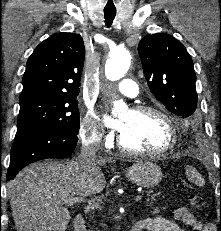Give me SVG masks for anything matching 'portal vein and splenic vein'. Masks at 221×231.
Returning <instances> with one entry per match:
<instances>
[{
  "instance_id": "1",
  "label": "portal vein and splenic vein",
  "mask_w": 221,
  "mask_h": 231,
  "mask_svg": "<svg viewBox=\"0 0 221 231\" xmlns=\"http://www.w3.org/2000/svg\"><path fill=\"white\" fill-rule=\"evenodd\" d=\"M142 198H143V195H136L134 197V200L138 201V200H141ZM81 202H84V198L82 197H73V198H68L64 200V203L69 204V205H73V204L81 203Z\"/></svg>"
}]
</instances>
